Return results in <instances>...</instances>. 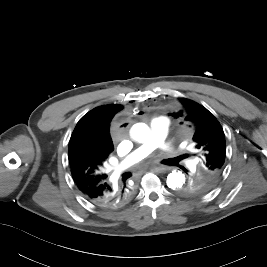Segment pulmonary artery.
Listing matches in <instances>:
<instances>
[{
  "label": "pulmonary artery",
  "mask_w": 267,
  "mask_h": 267,
  "mask_svg": "<svg viewBox=\"0 0 267 267\" xmlns=\"http://www.w3.org/2000/svg\"><path fill=\"white\" fill-rule=\"evenodd\" d=\"M168 132V119L163 116L154 118L150 123L149 138L114 168L115 174L118 175L131 165L141 161L142 159L150 155L155 149L159 147H165L164 140ZM167 150L170 153L174 154L171 149L167 148Z\"/></svg>",
  "instance_id": "1"
}]
</instances>
